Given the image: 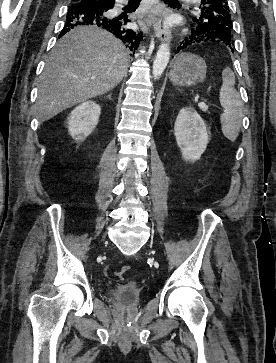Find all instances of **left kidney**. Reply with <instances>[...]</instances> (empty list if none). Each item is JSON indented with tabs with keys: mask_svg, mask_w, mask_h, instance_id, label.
Listing matches in <instances>:
<instances>
[{
	"mask_svg": "<svg viewBox=\"0 0 276 363\" xmlns=\"http://www.w3.org/2000/svg\"><path fill=\"white\" fill-rule=\"evenodd\" d=\"M174 135L183 159L190 162L200 159L209 141L205 122L191 107L180 110L174 125Z\"/></svg>",
	"mask_w": 276,
	"mask_h": 363,
	"instance_id": "left-kidney-1",
	"label": "left kidney"
}]
</instances>
